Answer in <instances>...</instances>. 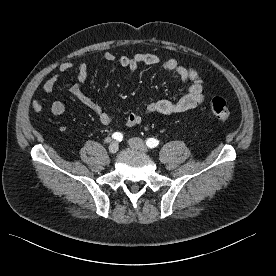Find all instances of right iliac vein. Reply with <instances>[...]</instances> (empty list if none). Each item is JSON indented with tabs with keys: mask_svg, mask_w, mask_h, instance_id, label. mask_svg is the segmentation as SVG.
Wrapping results in <instances>:
<instances>
[{
	"mask_svg": "<svg viewBox=\"0 0 276 276\" xmlns=\"http://www.w3.org/2000/svg\"><path fill=\"white\" fill-rule=\"evenodd\" d=\"M108 149H109V152H110L111 154L117 153V151H118V149H119V144H118V142H116V141L111 142Z\"/></svg>",
	"mask_w": 276,
	"mask_h": 276,
	"instance_id": "63e3f726",
	"label": "right iliac vein"
}]
</instances>
